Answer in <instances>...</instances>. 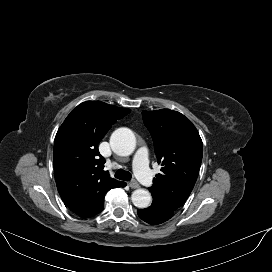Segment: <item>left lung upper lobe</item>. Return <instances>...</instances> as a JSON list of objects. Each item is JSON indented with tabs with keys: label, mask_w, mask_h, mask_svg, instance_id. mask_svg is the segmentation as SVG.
<instances>
[{
	"label": "left lung upper lobe",
	"mask_w": 272,
	"mask_h": 272,
	"mask_svg": "<svg viewBox=\"0 0 272 272\" xmlns=\"http://www.w3.org/2000/svg\"><path fill=\"white\" fill-rule=\"evenodd\" d=\"M142 117L162 165L149 191L153 202L175 212L195 185L202 161V140L193 123L177 111H143Z\"/></svg>",
	"instance_id": "5c2ea615"
}]
</instances>
